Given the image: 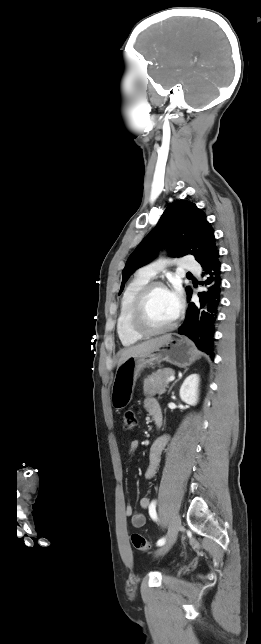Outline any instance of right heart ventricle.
Returning <instances> with one entry per match:
<instances>
[{
	"instance_id": "obj_1",
	"label": "right heart ventricle",
	"mask_w": 261,
	"mask_h": 644,
	"mask_svg": "<svg viewBox=\"0 0 261 644\" xmlns=\"http://www.w3.org/2000/svg\"><path fill=\"white\" fill-rule=\"evenodd\" d=\"M150 277L139 272L125 287L117 319V334L124 346H131L139 342L142 337L133 332L130 327V315L134 299L140 289L150 281Z\"/></svg>"
}]
</instances>
